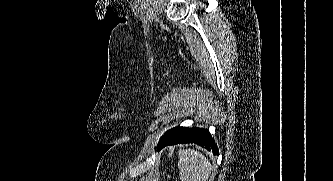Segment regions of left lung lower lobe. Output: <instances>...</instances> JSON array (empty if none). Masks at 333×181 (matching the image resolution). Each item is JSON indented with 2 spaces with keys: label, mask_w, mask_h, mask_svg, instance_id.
<instances>
[{
  "label": "left lung lower lobe",
  "mask_w": 333,
  "mask_h": 181,
  "mask_svg": "<svg viewBox=\"0 0 333 181\" xmlns=\"http://www.w3.org/2000/svg\"><path fill=\"white\" fill-rule=\"evenodd\" d=\"M183 143H195L207 150H211L214 155H219L217 146L214 139L211 137L208 129L204 128H187L184 132L178 135L176 138L169 142L159 141L157 148L161 150L167 145L183 144Z\"/></svg>",
  "instance_id": "1"
}]
</instances>
